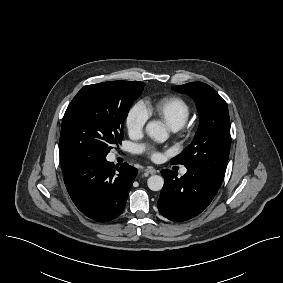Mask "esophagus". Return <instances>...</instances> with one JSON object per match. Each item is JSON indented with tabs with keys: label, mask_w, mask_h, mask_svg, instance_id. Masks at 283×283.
Masks as SVG:
<instances>
[{
	"label": "esophagus",
	"mask_w": 283,
	"mask_h": 283,
	"mask_svg": "<svg viewBox=\"0 0 283 283\" xmlns=\"http://www.w3.org/2000/svg\"><path fill=\"white\" fill-rule=\"evenodd\" d=\"M144 171L148 174H156L157 173V170L155 168L151 167V166L147 167Z\"/></svg>",
	"instance_id": "1"
}]
</instances>
